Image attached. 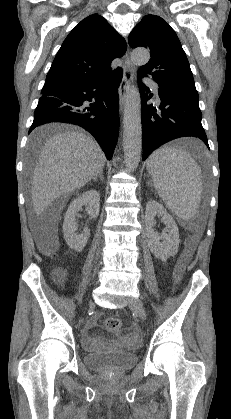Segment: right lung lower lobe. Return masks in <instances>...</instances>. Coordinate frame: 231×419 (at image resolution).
<instances>
[{
    "instance_id": "1",
    "label": "right lung lower lobe",
    "mask_w": 231,
    "mask_h": 419,
    "mask_svg": "<svg viewBox=\"0 0 231 419\" xmlns=\"http://www.w3.org/2000/svg\"><path fill=\"white\" fill-rule=\"evenodd\" d=\"M122 69L100 79L58 86L42 93L29 133L51 122L73 123L90 132L110 160L119 133L118 87ZM85 106L84 101H92Z\"/></svg>"
}]
</instances>
